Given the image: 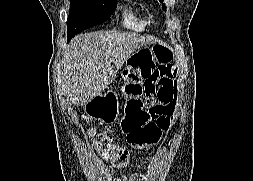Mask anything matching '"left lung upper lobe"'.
<instances>
[{
	"label": "left lung upper lobe",
	"mask_w": 253,
	"mask_h": 181,
	"mask_svg": "<svg viewBox=\"0 0 253 181\" xmlns=\"http://www.w3.org/2000/svg\"><path fill=\"white\" fill-rule=\"evenodd\" d=\"M160 2H163V0H159ZM163 10L166 11V6L162 3Z\"/></svg>",
	"instance_id": "1"
}]
</instances>
